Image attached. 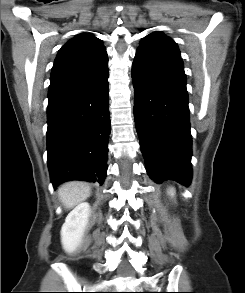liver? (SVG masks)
<instances>
[{"mask_svg": "<svg viewBox=\"0 0 245 293\" xmlns=\"http://www.w3.org/2000/svg\"><path fill=\"white\" fill-rule=\"evenodd\" d=\"M90 194L91 188L84 182H67L58 188V196L66 209H71L85 201Z\"/></svg>", "mask_w": 245, "mask_h": 293, "instance_id": "liver-1", "label": "liver"}]
</instances>
